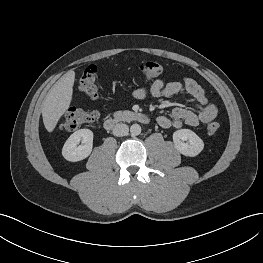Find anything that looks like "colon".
I'll return each instance as SVG.
<instances>
[{
  "mask_svg": "<svg viewBox=\"0 0 263 263\" xmlns=\"http://www.w3.org/2000/svg\"><path fill=\"white\" fill-rule=\"evenodd\" d=\"M139 72L146 80H152L160 76L163 72L162 66L155 61H146L139 65ZM98 68L95 65L86 67L78 79L79 89L92 99L98 97L97 88ZM99 118L95 110H84L81 108H71L63 116L61 127L68 131H74L82 126L92 124ZM220 129L218 122H212L207 126L209 134H215Z\"/></svg>",
  "mask_w": 263,
  "mask_h": 263,
  "instance_id": "colon-1",
  "label": "colon"
}]
</instances>
